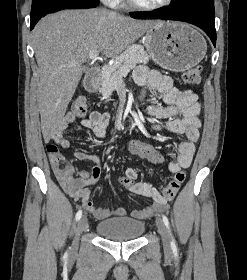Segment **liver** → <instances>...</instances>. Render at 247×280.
Returning a JSON list of instances; mask_svg holds the SVG:
<instances>
[{"label":"liver","mask_w":247,"mask_h":280,"mask_svg":"<svg viewBox=\"0 0 247 280\" xmlns=\"http://www.w3.org/2000/svg\"><path fill=\"white\" fill-rule=\"evenodd\" d=\"M158 22L100 8L60 11L38 22L32 37L40 72L38 106L45 143L66 113L89 53L115 57Z\"/></svg>","instance_id":"obj_1"}]
</instances>
